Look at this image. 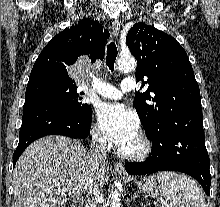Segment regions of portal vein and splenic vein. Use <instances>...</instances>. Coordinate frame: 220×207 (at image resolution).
<instances>
[{
    "mask_svg": "<svg viewBox=\"0 0 220 207\" xmlns=\"http://www.w3.org/2000/svg\"><path fill=\"white\" fill-rule=\"evenodd\" d=\"M67 190L65 189V188H61V187H58L57 189H56V192L57 193H64V192H66ZM167 207H170V206H167Z\"/></svg>",
    "mask_w": 220,
    "mask_h": 207,
    "instance_id": "18ae733b",
    "label": "portal vein and splenic vein"
}]
</instances>
